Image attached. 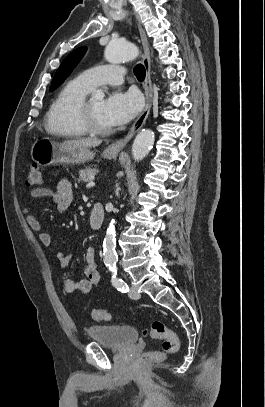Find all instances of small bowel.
Here are the masks:
<instances>
[{"mask_svg":"<svg viewBox=\"0 0 265 407\" xmlns=\"http://www.w3.org/2000/svg\"><path fill=\"white\" fill-rule=\"evenodd\" d=\"M50 198L56 205L59 212H65L71 205L73 194L71 184L68 180L62 179L58 182L55 190L47 187H39L29 192L30 199ZM26 220L29 227L37 233L40 242L45 246L53 243V236L46 232L41 222L30 212L28 207L24 208ZM55 258L59 264V270L62 277L63 289L68 293L88 294L92 289L98 288L101 282V274L96 263L95 255L92 249L86 254V277L80 280H73L68 276V265L73 256L66 254L64 250H57Z\"/></svg>","mask_w":265,"mask_h":407,"instance_id":"obj_1","label":"small bowel"}]
</instances>
